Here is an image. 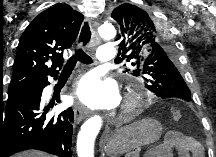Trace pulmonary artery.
Segmentation results:
<instances>
[{
	"label": "pulmonary artery",
	"instance_id": "e3ab8cb5",
	"mask_svg": "<svg viewBox=\"0 0 216 157\" xmlns=\"http://www.w3.org/2000/svg\"><path fill=\"white\" fill-rule=\"evenodd\" d=\"M96 57L99 61L108 62L116 57V49L113 45H102L99 47Z\"/></svg>",
	"mask_w": 216,
	"mask_h": 157
}]
</instances>
